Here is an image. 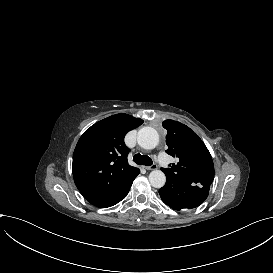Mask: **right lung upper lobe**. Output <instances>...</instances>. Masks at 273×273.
Wrapping results in <instances>:
<instances>
[{
	"label": "right lung upper lobe",
	"mask_w": 273,
	"mask_h": 273,
	"mask_svg": "<svg viewBox=\"0 0 273 273\" xmlns=\"http://www.w3.org/2000/svg\"><path fill=\"white\" fill-rule=\"evenodd\" d=\"M142 123L140 118L116 114L95 123L80 137L73 154V177L91 204L107 208L129 192L140 170L128 164L124 137Z\"/></svg>",
	"instance_id": "obj_1"
}]
</instances>
